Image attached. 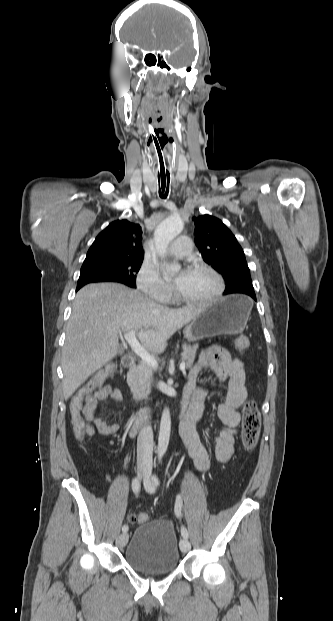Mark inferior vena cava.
Masks as SVG:
<instances>
[{
    "label": "inferior vena cava",
    "mask_w": 333,
    "mask_h": 621,
    "mask_svg": "<svg viewBox=\"0 0 333 621\" xmlns=\"http://www.w3.org/2000/svg\"><path fill=\"white\" fill-rule=\"evenodd\" d=\"M153 431L150 424L144 425L137 438V461L138 463H153Z\"/></svg>",
    "instance_id": "602c4592"
}]
</instances>
